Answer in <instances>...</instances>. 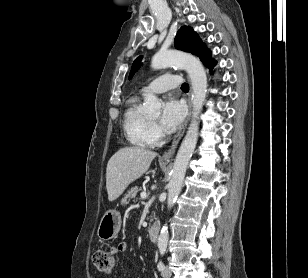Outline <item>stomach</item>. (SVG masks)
I'll return each instance as SVG.
<instances>
[{"label": "stomach", "instance_id": "0dacf381", "mask_svg": "<svg viewBox=\"0 0 308 278\" xmlns=\"http://www.w3.org/2000/svg\"><path fill=\"white\" fill-rule=\"evenodd\" d=\"M121 228V215L116 210L107 211L98 226L97 235L101 240L115 237Z\"/></svg>", "mask_w": 308, "mask_h": 278}]
</instances>
